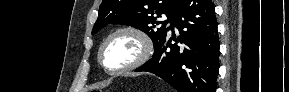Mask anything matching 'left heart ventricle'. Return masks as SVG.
Masks as SVG:
<instances>
[{
  "label": "left heart ventricle",
  "instance_id": "obj_1",
  "mask_svg": "<svg viewBox=\"0 0 289 92\" xmlns=\"http://www.w3.org/2000/svg\"><path fill=\"white\" fill-rule=\"evenodd\" d=\"M139 54L137 40L127 34L114 37L105 47L104 64L109 69H118L130 64Z\"/></svg>",
  "mask_w": 289,
  "mask_h": 92
}]
</instances>
